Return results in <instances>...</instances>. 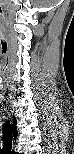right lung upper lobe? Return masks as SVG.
Masks as SVG:
<instances>
[{"mask_svg":"<svg viewBox=\"0 0 74 154\" xmlns=\"http://www.w3.org/2000/svg\"><path fill=\"white\" fill-rule=\"evenodd\" d=\"M13 130L16 132V119H13Z\"/></svg>","mask_w":74,"mask_h":154,"instance_id":"cb5924a9","label":"right lung upper lobe"}]
</instances>
